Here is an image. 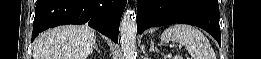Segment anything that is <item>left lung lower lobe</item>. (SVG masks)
<instances>
[{"label":"left lung lower lobe","instance_id":"1","mask_svg":"<svg viewBox=\"0 0 261 59\" xmlns=\"http://www.w3.org/2000/svg\"><path fill=\"white\" fill-rule=\"evenodd\" d=\"M217 0H138L137 29L186 23L206 30L221 45Z\"/></svg>","mask_w":261,"mask_h":59}]
</instances>
